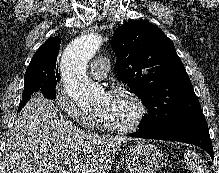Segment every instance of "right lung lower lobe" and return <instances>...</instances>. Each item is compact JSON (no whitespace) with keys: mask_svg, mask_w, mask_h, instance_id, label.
<instances>
[{"mask_svg":"<svg viewBox=\"0 0 219 173\" xmlns=\"http://www.w3.org/2000/svg\"><path fill=\"white\" fill-rule=\"evenodd\" d=\"M30 98H31V94L26 95V96L23 97V99H22V101H21V103H20V105H19L18 111H20V110L23 108V106L27 103V101H28Z\"/></svg>","mask_w":219,"mask_h":173,"instance_id":"98d812e1","label":"right lung lower lobe"}]
</instances>
